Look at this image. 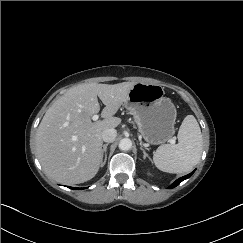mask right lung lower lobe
Segmentation results:
<instances>
[{
    "instance_id": "obj_1",
    "label": "right lung lower lobe",
    "mask_w": 243,
    "mask_h": 243,
    "mask_svg": "<svg viewBox=\"0 0 243 243\" xmlns=\"http://www.w3.org/2000/svg\"><path fill=\"white\" fill-rule=\"evenodd\" d=\"M69 188H71V189H78V190L81 189V188H72V187H69Z\"/></svg>"
}]
</instances>
